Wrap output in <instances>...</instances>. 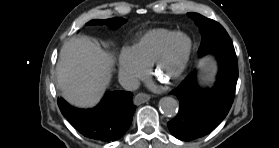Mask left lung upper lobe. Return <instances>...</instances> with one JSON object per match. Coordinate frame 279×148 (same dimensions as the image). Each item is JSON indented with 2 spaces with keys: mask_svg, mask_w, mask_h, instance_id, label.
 <instances>
[{
  "mask_svg": "<svg viewBox=\"0 0 279 148\" xmlns=\"http://www.w3.org/2000/svg\"><path fill=\"white\" fill-rule=\"evenodd\" d=\"M187 15L194 20L202 35V41L198 49L200 56L233 47L231 38L219 23L197 13H188Z\"/></svg>",
  "mask_w": 279,
  "mask_h": 148,
  "instance_id": "5c2ea615",
  "label": "left lung upper lobe"
}]
</instances>
